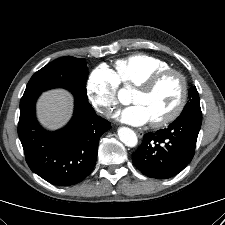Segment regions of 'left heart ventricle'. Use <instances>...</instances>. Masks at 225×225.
I'll list each match as a JSON object with an SVG mask.
<instances>
[{"label":"left heart ventricle","instance_id":"obj_1","mask_svg":"<svg viewBox=\"0 0 225 225\" xmlns=\"http://www.w3.org/2000/svg\"><path fill=\"white\" fill-rule=\"evenodd\" d=\"M180 95V83L178 79L170 75L163 79L152 91L144 92L136 89L132 96L134 104L142 105L150 118V121L165 116L176 105Z\"/></svg>","mask_w":225,"mask_h":225}]
</instances>
